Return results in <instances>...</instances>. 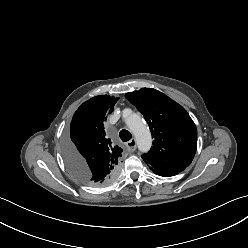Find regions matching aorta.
<instances>
[{"label":"aorta","mask_w":248,"mask_h":248,"mask_svg":"<svg viewBox=\"0 0 248 248\" xmlns=\"http://www.w3.org/2000/svg\"><path fill=\"white\" fill-rule=\"evenodd\" d=\"M125 122L134 134L139 150L141 152L149 151L152 145L151 133L141 117L135 113H130L125 118Z\"/></svg>","instance_id":"aorta-1"}]
</instances>
